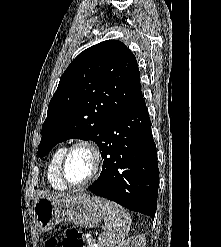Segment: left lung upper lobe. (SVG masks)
I'll use <instances>...</instances> for the list:
<instances>
[{
	"label": "left lung upper lobe",
	"instance_id": "obj_1",
	"mask_svg": "<svg viewBox=\"0 0 221 247\" xmlns=\"http://www.w3.org/2000/svg\"><path fill=\"white\" fill-rule=\"evenodd\" d=\"M145 104L133 53L118 40L81 52L60 78L42 125L37 155L67 139L94 141L101 149L105 127L118 115Z\"/></svg>",
	"mask_w": 221,
	"mask_h": 247
}]
</instances>
